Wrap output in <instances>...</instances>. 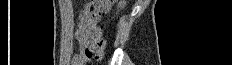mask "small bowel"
<instances>
[{
	"label": "small bowel",
	"mask_w": 232,
	"mask_h": 65,
	"mask_svg": "<svg viewBox=\"0 0 232 65\" xmlns=\"http://www.w3.org/2000/svg\"><path fill=\"white\" fill-rule=\"evenodd\" d=\"M75 37L79 44V53L74 56L73 64L81 65L87 59H89L88 54H87V46H88L87 36H86V32L81 23L79 24L76 30Z\"/></svg>",
	"instance_id": "obj_1"
}]
</instances>
